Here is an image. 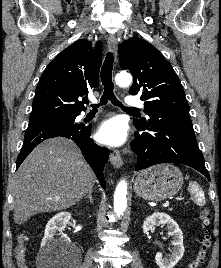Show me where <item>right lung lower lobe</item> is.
<instances>
[{
	"mask_svg": "<svg viewBox=\"0 0 221 268\" xmlns=\"http://www.w3.org/2000/svg\"><path fill=\"white\" fill-rule=\"evenodd\" d=\"M90 132L91 125L82 123L51 120L30 122L26 130L22 150L18 155L17 168L40 142L52 137H66L78 145L84 158L94 170L101 186L105 189L103 170L110 151L96 145L90 137Z\"/></svg>",
	"mask_w": 221,
	"mask_h": 268,
	"instance_id": "98d812e1",
	"label": "right lung lower lobe"
}]
</instances>
